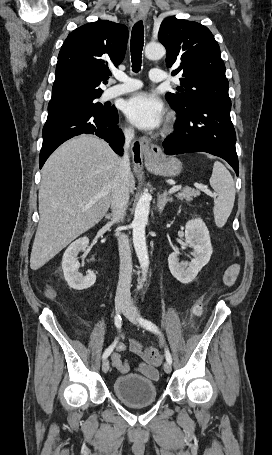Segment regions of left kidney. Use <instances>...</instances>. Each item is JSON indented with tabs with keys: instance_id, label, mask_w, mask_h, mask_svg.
<instances>
[{
	"instance_id": "left-kidney-1",
	"label": "left kidney",
	"mask_w": 272,
	"mask_h": 455,
	"mask_svg": "<svg viewBox=\"0 0 272 455\" xmlns=\"http://www.w3.org/2000/svg\"><path fill=\"white\" fill-rule=\"evenodd\" d=\"M193 248V259L189 263L179 262V253L173 252L168 257L171 274L181 283L192 282L201 269L209 262L212 255V246L209 231L201 218H195L186 223L185 242L181 248Z\"/></svg>"
}]
</instances>
